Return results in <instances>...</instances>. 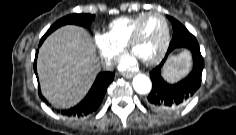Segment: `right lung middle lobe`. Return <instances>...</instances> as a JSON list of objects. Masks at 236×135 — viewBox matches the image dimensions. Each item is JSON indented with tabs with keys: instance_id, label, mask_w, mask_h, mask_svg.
<instances>
[{
	"instance_id": "right-lung-middle-lobe-1",
	"label": "right lung middle lobe",
	"mask_w": 236,
	"mask_h": 135,
	"mask_svg": "<svg viewBox=\"0 0 236 135\" xmlns=\"http://www.w3.org/2000/svg\"><path fill=\"white\" fill-rule=\"evenodd\" d=\"M95 15L91 14H72L68 15L66 17H63L62 19L55 22L49 30L46 32L44 37H47L51 32H53L55 29L59 28L62 25L65 24H76L84 27H89L92 21L94 20Z\"/></svg>"
}]
</instances>
